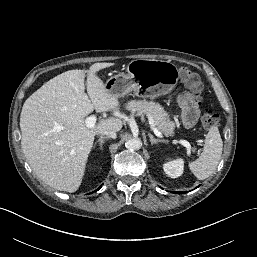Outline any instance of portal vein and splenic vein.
<instances>
[{"mask_svg":"<svg viewBox=\"0 0 257 257\" xmlns=\"http://www.w3.org/2000/svg\"><path fill=\"white\" fill-rule=\"evenodd\" d=\"M96 120H97V117L95 115H91L85 119V124L88 128H93L95 126ZM150 124H151V128H152L154 134L157 137H163L162 133L155 127L152 120H151ZM179 143L182 144L183 146H185L188 150L191 149L189 142H187L186 140H180Z\"/></svg>","mask_w":257,"mask_h":257,"instance_id":"obj_1","label":"portal vein and splenic vein"}]
</instances>
